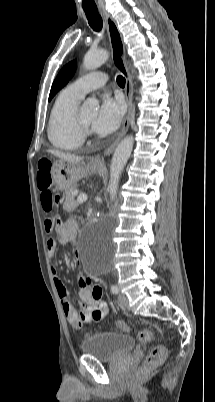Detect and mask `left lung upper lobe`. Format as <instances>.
<instances>
[{
  "instance_id": "obj_1",
  "label": "left lung upper lobe",
  "mask_w": 215,
  "mask_h": 402,
  "mask_svg": "<svg viewBox=\"0 0 215 402\" xmlns=\"http://www.w3.org/2000/svg\"><path fill=\"white\" fill-rule=\"evenodd\" d=\"M75 70V61L68 63L61 69L51 87L49 100H51L53 96L68 83V81L73 77Z\"/></svg>"
}]
</instances>
